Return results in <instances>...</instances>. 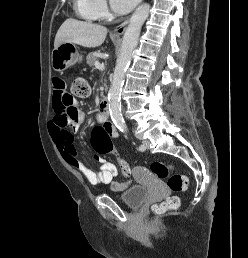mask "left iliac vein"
Here are the masks:
<instances>
[{
    "mask_svg": "<svg viewBox=\"0 0 248 258\" xmlns=\"http://www.w3.org/2000/svg\"><path fill=\"white\" fill-rule=\"evenodd\" d=\"M142 143H143V146H144L145 150L149 148V141L148 140H143Z\"/></svg>",
    "mask_w": 248,
    "mask_h": 258,
    "instance_id": "4c4485c4",
    "label": "left iliac vein"
}]
</instances>
